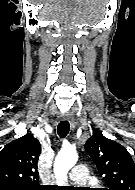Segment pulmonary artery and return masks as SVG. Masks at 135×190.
Here are the masks:
<instances>
[{
  "mask_svg": "<svg viewBox=\"0 0 135 190\" xmlns=\"http://www.w3.org/2000/svg\"><path fill=\"white\" fill-rule=\"evenodd\" d=\"M69 178L72 182L84 185L89 180L88 169L83 164L76 165L69 173Z\"/></svg>",
  "mask_w": 135,
  "mask_h": 190,
  "instance_id": "obj_1",
  "label": "pulmonary artery"
}]
</instances>
